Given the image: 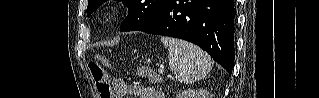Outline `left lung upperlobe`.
<instances>
[{"mask_svg": "<svg viewBox=\"0 0 319 98\" xmlns=\"http://www.w3.org/2000/svg\"><path fill=\"white\" fill-rule=\"evenodd\" d=\"M106 0H89L87 16H90ZM129 7L128 16L120 31H133L147 24L158 12L164 0H120Z\"/></svg>", "mask_w": 319, "mask_h": 98, "instance_id": "5c2ea615", "label": "left lung upper lobe"}]
</instances>
